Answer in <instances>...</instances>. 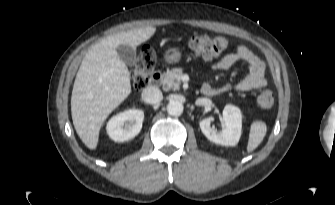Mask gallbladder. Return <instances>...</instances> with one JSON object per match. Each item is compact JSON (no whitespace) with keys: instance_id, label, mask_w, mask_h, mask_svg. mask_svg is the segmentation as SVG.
<instances>
[{"instance_id":"bac80fb5","label":"gallbladder","mask_w":335,"mask_h":205,"mask_svg":"<svg viewBox=\"0 0 335 205\" xmlns=\"http://www.w3.org/2000/svg\"><path fill=\"white\" fill-rule=\"evenodd\" d=\"M116 51L120 59L126 65L133 67L136 64L137 58H136V50L134 47L127 44H121L117 46Z\"/></svg>"}]
</instances>
